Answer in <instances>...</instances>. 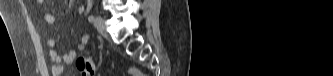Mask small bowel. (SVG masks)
<instances>
[{
	"instance_id": "small-bowel-1",
	"label": "small bowel",
	"mask_w": 333,
	"mask_h": 76,
	"mask_svg": "<svg viewBox=\"0 0 333 76\" xmlns=\"http://www.w3.org/2000/svg\"><path fill=\"white\" fill-rule=\"evenodd\" d=\"M38 5L44 6L47 1L46 0H37L36 1ZM78 13L83 14L85 12L84 6H79L78 7ZM44 20L48 24H54L56 22V18L52 14H46L44 16ZM90 40V36L88 34L83 35L76 48L68 51L65 54H60L56 50L57 42L54 39H49L47 41V46H48V54L49 58L53 64L52 66V75L53 76H61L63 73V63L65 64H71L75 58L77 57L78 53L83 51L85 49L86 44Z\"/></svg>"
}]
</instances>
